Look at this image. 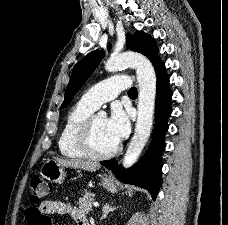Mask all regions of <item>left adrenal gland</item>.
Segmentation results:
<instances>
[{"label": "left adrenal gland", "instance_id": "a2214340", "mask_svg": "<svg viewBox=\"0 0 228 225\" xmlns=\"http://www.w3.org/2000/svg\"><path fill=\"white\" fill-rule=\"evenodd\" d=\"M113 205V203H112ZM115 209H119V207H111V205H109V203H105L102 211H103V217H101L100 221H102V219H106L107 215H109L110 211H115Z\"/></svg>", "mask_w": 228, "mask_h": 225}]
</instances>
